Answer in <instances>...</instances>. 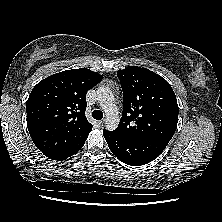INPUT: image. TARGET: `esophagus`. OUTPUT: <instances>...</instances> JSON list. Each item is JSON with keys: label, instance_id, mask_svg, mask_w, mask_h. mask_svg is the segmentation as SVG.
<instances>
[{"label": "esophagus", "instance_id": "1", "mask_svg": "<svg viewBox=\"0 0 222 222\" xmlns=\"http://www.w3.org/2000/svg\"><path fill=\"white\" fill-rule=\"evenodd\" d=\"M98 124H99V126H103V124H104V120H100V121H98Z\"/></svg>", "mask_w": 222, "mask_h": 222}]
</instances>
